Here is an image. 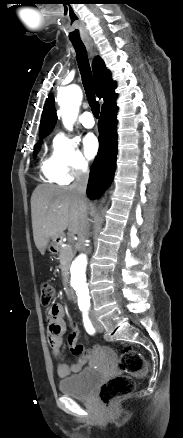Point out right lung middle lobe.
<instances>
[{
    "mask_svg": "<svg viewBox=\"0 0 183 438\" xmlns=\"http://www.w3.org/2000/svg\"><path fill=\"white\" fill-rule=\"evenodd\" d=\"M46 136H47V135L40 136V137H39V138H40V141H42ZM37 149H38V144H36V145L34 146L33 157L36 156Z\"/></svg>",
    "mask_w": 183,
    "mask_h": 438,
    "instance_id": "obj_1",
    "label": "right lung middle lobe"
}]
</instances>
